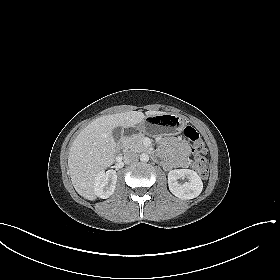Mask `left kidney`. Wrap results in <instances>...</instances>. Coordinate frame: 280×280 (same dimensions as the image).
Masks as SVG:
<instances>
[{
    "label": "left kidney",
    "mask_w": 280,
    "mask_h": 280,
    "mask_svg": "<svg viewBox=\"0 0 280 280\" xmlns=\"http://www.w3.org/2000/svg\"><path fill=\"white\" fill-rule=\"evenodd\" d=\"M186 178L184 184L178 183V179ZM168 186L173 195L180 199H193L200 195L203 183L199 175L190 169H175L168 173Z\"/></svg>",
    "instance_id": "left-kidney-1"
}]
</instances>
